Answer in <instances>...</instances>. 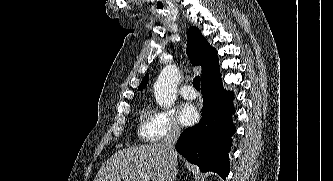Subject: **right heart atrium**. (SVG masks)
I'll return each mask as SVG.
<instances>
[{
    "mask_svg": "<svg viewBox=\"0 0 333 181\" xmlns=\"http://www.w3.org/2000/svg\"><path fill=\"white\" fill-rule=\"evenodd\" d=\"M149 130L151 139L160 140L164 137L177 136L181 128L173 110L159 109L153 112L149 122Z\"/></svg>",
    "mask_w": 333,
    "mask_h": 181,
    "instance_id": "d8ad5b80",
    "label": "right heart atrium"
}]
</instances>
